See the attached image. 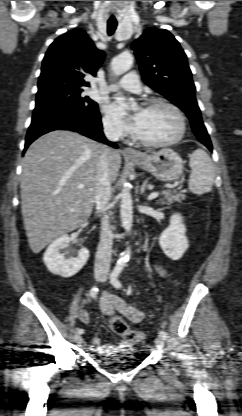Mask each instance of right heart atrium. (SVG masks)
<instances>
[{"label":"right heart atrium","mask_w":242,"mask_h":416,"mask_svg":"<svg viewBox=\"0 0 242 416\" xmlns=\"http://www.w3.org/2000/svg\"><path fill=\"white\" fill-rule=\"evenodd\" d=\"M102 122L104 130L109 136L121 137L124 135V131L121 124L112 116L106 115L103 118Z\"/></svg>","instance_id":"obj_1"}]
</instances>
